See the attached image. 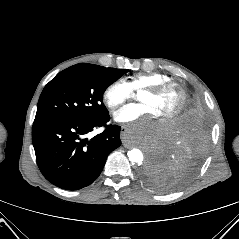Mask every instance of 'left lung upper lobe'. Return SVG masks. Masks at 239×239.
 <instances>
[{"instance_id":"1","label":"left lung upper lobe","mask_w":239,"mask_h":239,"mask_svg":"<svg viewBox=\"0 0 239 239\" xmlns=\"http://www.w3.org/2000/svg\"><path fill=\"white\" fill-rule=\"evenodd\" d=\"M145 180H146L149 184H151V185H153V186H155V187H158V183H157V181H155L154 178H152V177H146Z\"/></svg>"}]
</instances>
